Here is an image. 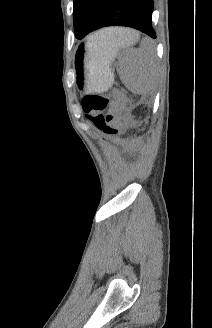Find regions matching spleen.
<instances>
[{
  "mask_svg": "<svg viewBox=\"0 0 212 328\" xmlns=\"http://www.w3.org/2000/svg\"><path fill=\"white\" fill-rule=\"evenodd\" d=\"M86 45L95 55H105L109 60H113L117 56L118 49L125 46L112 44L108 29L91 35ZM122 63L120 77L129 90L137 94H148L154 90L158 81V71L155 51L150 39H142L139 48L127 51Z\"/></svg>",
  "mask_w": 212,
  "mask_h": 328,
  "instance_id": "obj_1",
  "label": "spleen"
}]
</instances>
